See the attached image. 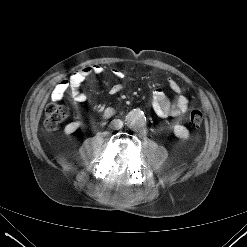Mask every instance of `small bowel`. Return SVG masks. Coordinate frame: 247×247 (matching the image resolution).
<instances>
[{
    "instance_id": "small-bowel-1",
    "label": "small bowel",
    "mask_w": 247,
    "mask_h": 247,
    "mask_svg": "<svg viewBox=\"0 0 247 247\" xmlns=\"http://www.w3.org/2000/svg\"><path fill=\"white\" fill-rule=\"evenodd\" d=\"M104 72L101 65L94 64L83 67L77 70L68 80H61L52 91V99L54 101H61L67 91L70 92L71 97L76 103H83L86 101L87 96L82 91V83L90 75H100ZM112 74L117 79L123 78V72L119 69H112ZM169 86L174 92H179L178 83L170 78ZM123 89V84L120 82L114 83L109 88L111 95L118 94ZM153 110L160 118L177 117L183 114L188 108V100L184 96H179L176 102L171 103L166 93L161 88H156L153 91Z\"/></svg>"
}]
</instances>
